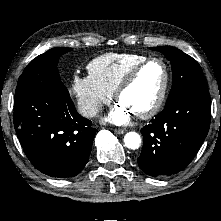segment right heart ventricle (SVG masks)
Returning <instances> with one entry per match:
<instances>
[{"label": "right heart ventricle", "instance_id": "right-heart-ventricle-1", "mask_svg": "<svg viewBox=\"0 0 221 221\" xmlns=\"http://www.w3.org/2000/svg\"><path fill=\"white\" fill-rule=\"evenodd\" d=\"M148 57L133 53H106L87 66L89 75L107 92L113 94L125 75Z\"/></svg>", "mask_w": 221, "mask_h": 221}]
</instances>
